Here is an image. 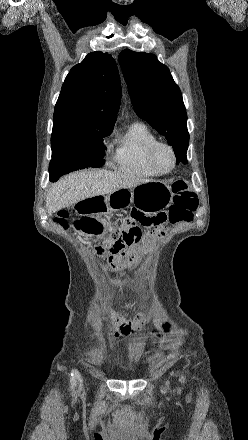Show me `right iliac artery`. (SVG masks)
I'll return each mask as SVG.
<instances>
[{
    "mask_svg": "<svg viewBox=\"0 0 248 440\" xmlns=\"http://www.w3.org/2000/svg\"><path fill=\"white\" fill-rule=\"evenodd\" d=\"M71 387L74 388L76 386V382L78 379H80L79 372L77 370H73L71 374Z\"/></svg>",
    "mask_w": 248,
    "mask_h": 440,
    "instance_id": "obj_1",
    "label": "right iliac artery"
}]
</instances>
